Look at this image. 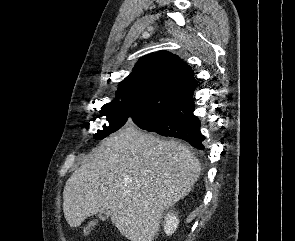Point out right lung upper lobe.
<instances>
[{
	"instance_id": "right-lung-upper-lobe-1",
	"label": "right lung upper lobe",
	"mask_w": 295,
	"mask_h": 241,
	"mask_svg": "<svg viewBox=\"0 0 295 241\" xmlns=\"http://www.w3.org/2000/svg\"><path fill=\"white\" fill-rule=\"evenodd\" d=\"M195 88L190 66L170 52L159 51L137 62L120 82L117 97L167 114L193 102Z\"/></svg>"
}]
</instances>
